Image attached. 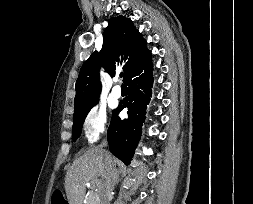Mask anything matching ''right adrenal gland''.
<instances>
[{
  "label": "right adrenal gland",
  "mask_w": 253,
  "mask_h": 204,
  "mask_svg": "<svg viewBox=\"0 0 253 204\" xmlns=\"http://www.w3.org/2000/svg\"><path fill=\"white\" fill-rule=\"evenodd\" d=\"M116 173H117V171H116ZM116 182H119V177H118V175L116 176Z\"/></svg>",
  "instance_id": "1"
}]
</instances>
